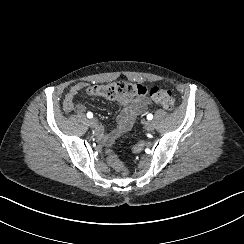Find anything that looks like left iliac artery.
Instances as JSON below:
<instances>
[{
	"mask_svg": "<svg viewBox=\"0 0 244 244\" xmlns=\"http://www.w3.org/2000/svg\"><path fill=\"white\" fill-rule=\"evenodd\" d=\"M147 119H148V120H152V119H153V115H152V114H148V115H147Z\"/></svg>",
	"mask_w": 244,
	"mask_h": 244,
	"instance_id": "left-iliac-artery-1",
	"label": "left iliac artery"
}]
</instances>
